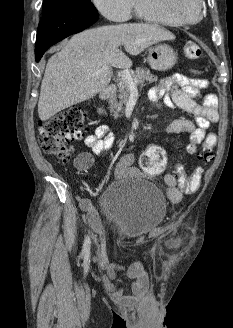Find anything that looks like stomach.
<instances>
[{"label":"stomach","instance_id":"obj_1","mask_svg":"<svg viewBox=\"0 0 233 328\" xmlns=\"http://www.w3.org/2000/svg\"><path fill=\"white\" fill-rule=\"evenodd\" d=\"M148 62L158 71L171 69L177 62V56L173 48L167 44H156L148 49Z\"/></svg>","mask_w":233,"mask_h":328}]
</instances>
